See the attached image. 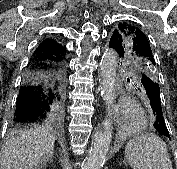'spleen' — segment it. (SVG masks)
Segmentation results:
<instances>
[{"mask_svg":"<svg viewBox=\"0 0 177 169\" xmlns=\"http://www.w3.org/2000/svg\"><path fill=\"white\" fill-rule=\"evenodd\" d=\"M125 157L133 169H173L165 142L153 133H142L129 140Z\"/></svg>","mask_w":177,"mask_h":169,"instance_id":"spleen-1","label":"spleen"}]
</instances>
